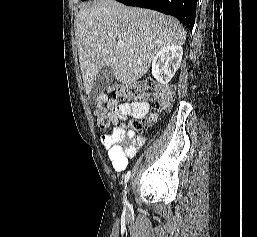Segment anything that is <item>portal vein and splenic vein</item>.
<instances>
[{"label":"portal vein and splenic vein","mask_w":257,"mask_h":237,"mask_svg":"<svg viewBox=\"0 0 257 237\" xmlns=\"http://www.w3.org/2000/svg\"><path fill=\"white\" fill-rule=\"evenodd\" d=\"M117 45H118V47H120V48H122V47L124 46L123 42H121V41H119V42L117 43Z\"/></svg>","instance_id":"18ae733b"}]
</instances>
